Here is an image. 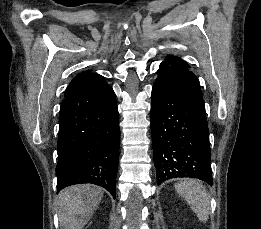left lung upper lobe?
Returning a JSON list of instances; mask_svg holds the SVG:
<instances>
[{
	"instance_id": "1",
	"label": "left lung upper lobe",
	"mask_w": 261,
	"mask_h": 229,
	"mask_svg": "<svg viewBox=\"0 0 261 229\" xmlns=\"http://www.w3.org/2000/svg\"><path fill=\"white\" fill-rule=\"evenodd\" d=\"M164 63L171 64V65H174V66H179V67H186V68L189 67V65L185 61H183L182 59H180L178 57H173V56H170V55L166 58Z\"/></svg>"
}]
</instances>
